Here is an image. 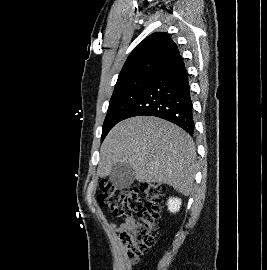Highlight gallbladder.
<instances>
[{
	"mask_svg": "<svg viewBox=\"0 0 267 270\" xmlns=\"http://www.w3.org/2000/svg\"><path fill=\"white\" fill-rule=\"evenodd\" d=\"M109 179L116 188H129L135 180L134 169L127 163H117L112 167Z\"/></svg>",
	"mask_w": 267,
	"mask_h": 270,
	"instance_id": "gallbladder-1",
	"label": "gallbladder"
}]
</instances>
